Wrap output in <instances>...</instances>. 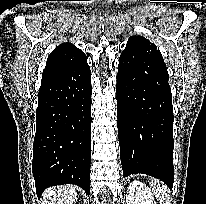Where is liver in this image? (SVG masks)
I'll return each mask as SVG.
<instances>
[{
    "instance_id": "1",
    "label": "liver",
    "mask_w": 206,
    "mask_h": 204,
    "mask_svg": "<svg viewBox=\"0 0 206 204\" xmlns=\"http://www.w3.org/2000/svg\"><path fill=\"white\" fill-rule=\"evenodd\" d=\"M76 190L72 185L49 188L43 194V204H73L77 196Z\"/></svg>"
}]
</instances>
